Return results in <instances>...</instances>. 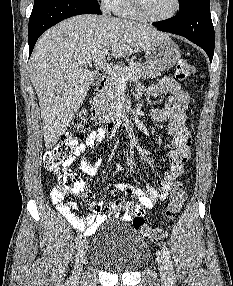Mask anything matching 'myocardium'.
Instances as JSON below:
<instances>
[{"label": "myocardium", "instance_id": "f54148a6", "mask_svg": "<svg viewBox=\"0 0 233 286\" xmlns=\"http://www.w3.org/2000/svg\"><path fill=\"white\" fill-rule=\"evenodd\" d=\"M130 3H131L132 8L134 9V11L137 13V15L141 19H144V20H146L148 22H152V23H160V22L168 21V20L174 18L180 10V0H175L174 9L170 14H168L167 16H164V17L155 18V17L149 16L145 12L141 0H130Z\"/></svg>", "mask_w": 233, "mask_h": 286}]
</instances>
